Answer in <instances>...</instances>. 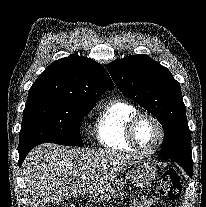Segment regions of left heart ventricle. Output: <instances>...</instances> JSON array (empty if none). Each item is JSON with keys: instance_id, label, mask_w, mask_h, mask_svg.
<instances>
[{"instance_id": "b2bd125f", "label": "left heart ventricle", "mask_w": 206, "mask_h": 207, "mask_svg": "<svg viewBox=\"0 0 206 207\" xmlns=\"http://www.w3.org/2000/svg\"><path fill=\"white\" fill-rule=\"evenodd\" d=\"M135 137L142 149L151 150L157 145L160 132L155 122L151 119L143 118L136 126Z\"/></svg>"}]
</instances>
